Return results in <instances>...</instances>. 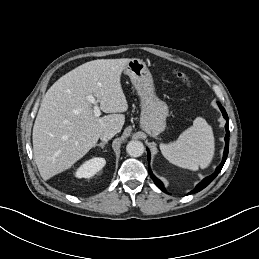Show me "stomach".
<instances>
[{"label": "stomach", "mask_w": 259, "mask_h": 259, "mask_svg": "<svg viewBox=\"0 0 259 259\" xmlns=\"http://www.w3.org/2000/svg\"><path fill=\"white\" fill-rule=\"evenodd\" d=\"M124 73L129 76L140 98V125L150 136H157L166 127L168 106L155 94L153 78L146 64L137 58L130 59Z\"/></svg>", "instance_id": "obj_1"}]
</instances>
